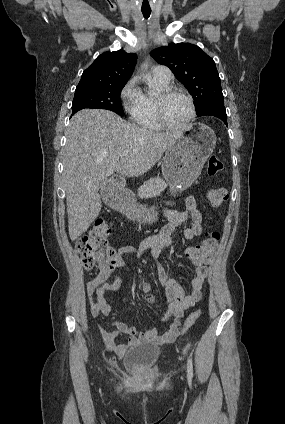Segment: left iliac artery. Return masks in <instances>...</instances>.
<instances>
[{"label": "left iliac artery", "instance_id": "obj_1", "mask_svg": "<svg viewBox=\"0 0 285 424\" xmlns=\"http://www.w3.org/2000/svg\"><path fill=\"white\" fill-rule=\"evenodd\" d=\"M187 372H188L187 377L191 381L193 378V364H192V359L190 357H188Z\"/></svg>", "mask_w": 285, "mask_h": 424}]
</instances>
